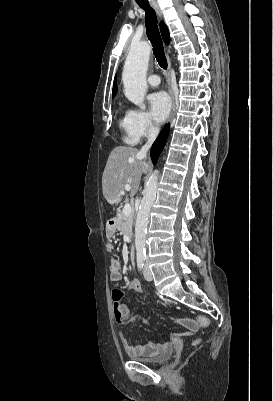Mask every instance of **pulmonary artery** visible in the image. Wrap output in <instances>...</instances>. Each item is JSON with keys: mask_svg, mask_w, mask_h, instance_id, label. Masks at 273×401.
<instances>
[{"mask_svg": "<svg viewBox=\"0 0 273 401\" xmlns=\"http://www.w3.org/2000/svg\"><path fill=\"white\" fill-rule=\"evenodd\" d=\"M149 80H150V86H151V88H153V89H156V88H158V86H159V80H160V77H159V75L158 74H151L150 75V77H149Z\"/></svg>", "mask_w": 273, "mask_h": 401, "instance_id": "pulmonary-artery-1", "label": "pulmonary artery"}]
</instances>
